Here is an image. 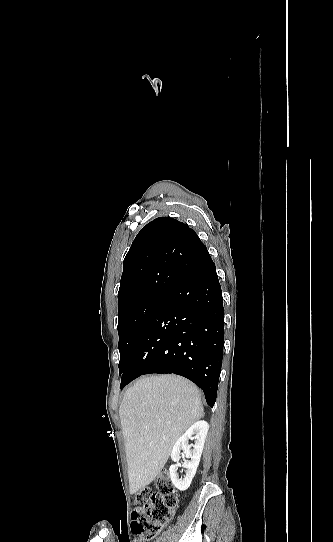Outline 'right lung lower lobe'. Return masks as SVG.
<instances>
[{
    "mask_svg": "<svg viewBox=\"0 0 333 542\" xmlns=\"http://www.w3.org/2000/svg\"><path fill=\"white\" fill-rule=\"evenodd\" d=\"M159 257L185 276L145 326L120 387L143 374L174 373L200 387L213 407L224 343L223 298L215 264L206 247L194 253L163 249Z\"/></svg>",
    "mask_w": 333,
    "mask_h": 542,
    "instance_id": "1",
    "label": "right lung lower lobe"
}]
</instances>
